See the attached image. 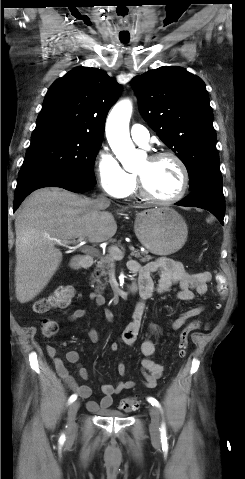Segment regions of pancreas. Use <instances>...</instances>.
Segmentation results:
<instances>
[{"label": "pancreas", "instance_id": "pancreas-1", "mask_svg": "<svg viewBox=\"0 0 245 479\" xmlns=\"http://www.w3.org/2000/svg\"><path fill=\"white\" fill-rule=\"evenodd\" d=\"M113 246L119 247L120 242H118L117 244H115ZM109 251H110V248H109ZM147 253H148L147 251H145V252H134V253H132V256H134L135 258H140V261H142V262H147V261L152 259V256L148 255ZM98 259L99 260L97 261L96 269L92 273V281L98 283V286H97L98 290H104L106 284H102V282L100 280V277L104 276L105 281L107 282L106 276L109 274V271H110V269L113 265V257L109 253L105 256L98 255Z\"/></svg>", "mask_w": 245, "mask_h": 479}]
</instances>
